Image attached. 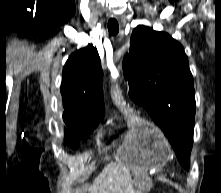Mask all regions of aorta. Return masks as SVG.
Instances as JSON below:
<instances>
[{"mask_svg": "<svg viewBox=\"0 0 221 193\" xmlns=\"http://www.w3.org/2000/svg\"><path fill=\"white\" fill-rule=\"evenodd\" d=\"M112 77H113L114 79L118 77V72H117L116 70H114V71L112 72Z\"/></svg>", "mask_w": 221, "mask_h": 193, "instance_id": "obj_1", "label": "aorta"}]
</instances>
